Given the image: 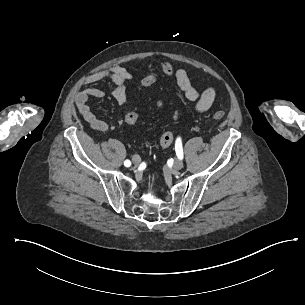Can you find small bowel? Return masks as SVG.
<instances>
[{"mask_svg": "<svg viewBox=\"0 0 305 305\" xmlns=\"http://www.w3.org/2000/svg\"><path fill=\"white\" fill-rule=\"evenodd\" d=\"M168 66H173L171 62L165 61L161 65V69ZM181 79L178 83L180 89L184 92L186 98L194 103V109L198 113L207 111L216 101V91L213 88H208L200 91L198 84H192L187 71L183 68H178ZM132 78V74L126 68L113 65L107 69L90 75L87 79L89 83L99 82L105 79H110L114 82L113 97L120 105L126 104L130 100V92L126 88V82ZM104 96V91L99 88H89L79 93L75 99L77 110L82 115L89 126L97 131L105 132L109 130V124L101 119L92 109L89 100L92 98H101Z\"/></svg>", "mask_w": 305, "mask_h": 305, "instance_id": "c3829d8e", "label": "small bowel"}]
</instances>
